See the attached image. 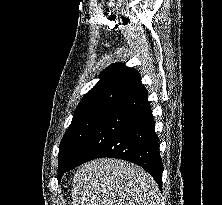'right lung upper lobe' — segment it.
Masks as SVG:
<instances>
[{"label": "right lung upper lobe", "instance_id": "obj_1", "mask_svg": "<svg viewBox=\"0 0 222 205\" xmlns=\"http://www.w3.org/2000/svg\"><path fill=\"white\" fill-rule=\"evenodd\" d=\"M140 74L133 68L116 63L100 74L99 82L82 98L75 114L111 110L125 98L142 89Z\"/></svg>", "mask_w": 222, "mask_h": 205}]
</instances>
